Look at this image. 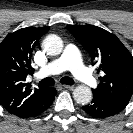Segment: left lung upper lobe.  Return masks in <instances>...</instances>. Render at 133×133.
Masks as SVG:
<instances>
[{
    "mask_svg": "<svg viewBox=\"0 0 133 133\" xmlns=\"http://www.w3.org/2000/svg\"><path fill=\"white\" fill-rule=\"evenodd\" d=\"M68 30L90 54L100 84L95 95L126 106L133 94V57L112 33L93 25H68Z\"/></svg>",
    "mask_w": 133,
    "mask_h": 133,
    "instance_id": "5c2ea615",
    "label": "left lung upper lobe"
}]
</instances>
